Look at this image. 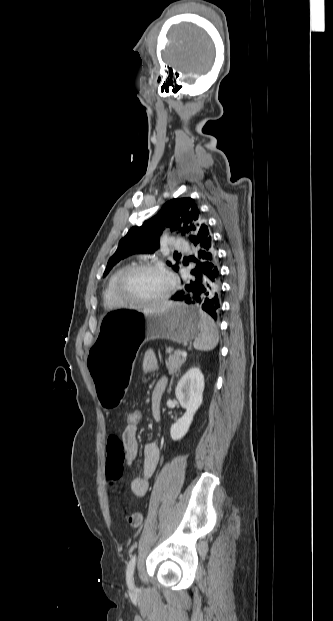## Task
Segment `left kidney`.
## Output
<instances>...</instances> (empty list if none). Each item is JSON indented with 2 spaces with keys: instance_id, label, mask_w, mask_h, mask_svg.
Segmentation results:
<instances>
[{
  "instance_id": "5707ae66",
  "label": "left kidney",
  "mask_w": 333,
  "mask_h": 621,
  "mask_svg": "<svg viewBox=\"0 0 333 621\" xmlns=\"http://www.w3.org/2000/svg\"><path fill=\"white\" fill-rule=\"evenodd\" d=\"M203 391L204 376L197 367L188 370L178 382L175 390L176 398L186 412L171 426L170 435L173 440L181 439L188 432L193 417L202 404Z\"/></svg>"
}]
</instances>
